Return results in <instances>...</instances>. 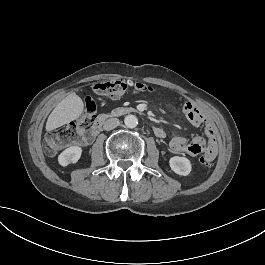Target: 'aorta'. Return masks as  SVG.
I'll return each instance as SVG.
<instances>
[{"instance_id": "obj_1", "label": "aorta", "mask_w": 265, "mask_h": 265, "mask_svg": "<svg viewBox=\"0 0 265 265\" xmlns=\"http://www.w3.org/2000/svg\"><path fill=\"white\" fill-rule=\"evenodd\" d=\"M124 123L128 128H135L138 124V119L135 115H127L124 118Z\"/></svg>"}]
</instances>
